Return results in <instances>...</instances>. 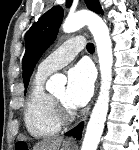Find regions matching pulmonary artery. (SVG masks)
Masks as SVG:
<instances>
[{
    "instance_id": "e3ab8cb5",
    "label": "pulmonary artery",
    "mask_w": 139,
    "mask_h": 150,
    "mask_svg": "<svg viewBox=\"0 0 139 150\" xmlns=\"http://www.w3.org/2000/svg\"><path fill=\"white\" fill-rule=\"evenodd\" d=\"M84 47V39L81 36L67 40L39 64L37 75L48 76L52 72L62 68L71 62Z\"/></svg>"
}]
</instances>
